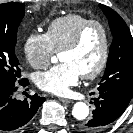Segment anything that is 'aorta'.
<instances>
[{
	"label": "aorta",
	"instance_id": "aorta-1",
	"mask_svg": "<svg viewBox=\"0 0 133 133\" xmlns=\"http://www.w3.org/2000/svg\"><path fill=\"white\" fill-rule=\"evenodd\" d=\"M72 115L76 120L84 121L89 115V107L84 102L74 104Z\"/></svg>",
	"mask_w": 133,
	"mask_h": 133
}]
</instances>
